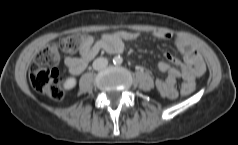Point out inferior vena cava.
Returning a JSON list of instances; mask_svg holds the SVG:
<instances>
[{"mask_svg": "<svg viewBox=\"0 0 238 145\" xmlns=\"http://www.w3.org/2000/svg\"><path fill=\"white\" fill-rule=\"evenodd\" d=\"M108 65V60L104 57L96 58L93 62V68L95 70H102Z\"/></svg>", "mask_w": 238, "mask_h": 145, "instance_id": "1", "label": "inferior vena cava"}]
</instances>
